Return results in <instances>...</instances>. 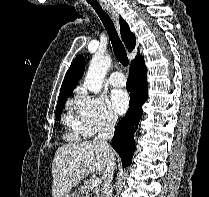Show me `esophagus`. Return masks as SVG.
Masks as SVG:
<instances>
[{
	"label": "esophagus",
	"mask_w": 209,
	"mask_h": 197,
	"mask_svg": "<svg viewBox=\"0 0 209 197\" xmlns=\"http://www.w3.org/2000/svg\"><path fill=\"white\" fill-rule=\"evenodd\" d=\"M103 5L107 9L109 14L112 16L117 30H119V17L120 16H119L118 11L111 4H109L107 2H104Z\"/></svg>",
	"instance_id": "obj_1"
}]
</instances>
